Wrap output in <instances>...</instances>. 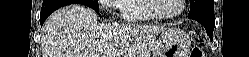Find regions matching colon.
I'll return each mask as SVG.
<instances>
[{
    "label": "colon",
    "mask_w": 249,
    "mask_h": 57,
    "mask_svg": "<svg viewBox=\"0 0 249 57\" xmlns=\"http://www.w3.org/2000/svg\"><path fill=\"white\" fill-rule=\"evenodd\" d=\"M190 57H204V54L200 48L195 47L191 50Z\"/></svg>",
    "instance_id": "colon-1"
}]
</instances>
